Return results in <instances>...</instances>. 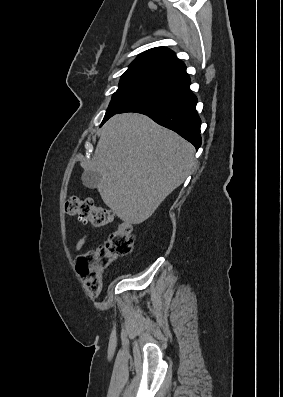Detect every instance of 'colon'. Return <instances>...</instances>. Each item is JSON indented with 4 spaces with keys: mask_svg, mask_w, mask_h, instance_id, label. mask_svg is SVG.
<instances>
[{
    "mask_svg": "<svg viewBox=\"0 0 283 397\" xmlns=\"http://www.w3.org/2000/svg\"><path fill=\"white\" fill-rule=\"evenodd\" d=\"M65 212L77 216L84 222L96 227L106 226L115 221L114 213L97 206L91 199H80L70 196L65 202ZM134 246V229L130 223L117 222V228L106 239L105 243L79 256L77 271L83 278L86 291L97 296L103 286V271L117 258L130 253Z\"/></svg>",
    "mask_w": 283,
    "mask_h": 397,
    "instance_id": "colon-1",
    "label": "colon"
}]
</instances>
